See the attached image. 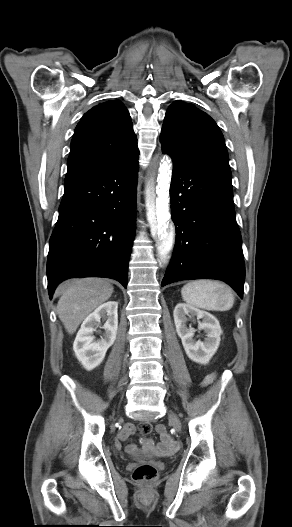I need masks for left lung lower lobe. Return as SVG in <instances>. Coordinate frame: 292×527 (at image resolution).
<instances>
[{
	"label": "left lung lower lobe",
	"instance_id": "left-lung-lower-lobe-1",
	"mask_svg": "<svg viewBox=\"0 0 292 527\" xmlns=\"http://www.w3.org/2000/svg\"><path fill=\"white\" fill-rule=\"evenodd\" d=\"M173 162L170 198L176 244L161 286L181 280L219 279L242 298L245 266L231 173L174 158Z\"/></svg>",
	"mask_w": 292,
	"mask_h": 527
}]
</instances>
